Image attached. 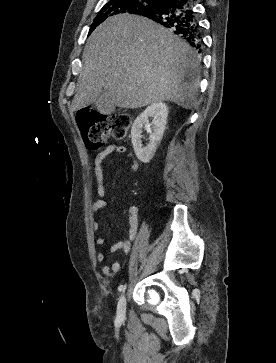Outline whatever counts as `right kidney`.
Here are the masks:
<instances>
[{
	"instance_id": "ca27d5eb",
	"label": "right kidney",
	"mask_w": 276,
	"mask_h": 363,
	"mask_svg": "<svg viewBox=\"0 0 276 363\" xmlns=\"http://www.w3.org/2000/svg\"><path fill=\"white\" fill-rule=\"evenodd\" d=\"M149 117H153V133L146 147L142 145V127L149 124ZM168 107L165 103H153L147 107L134 121L131 129V141L137 158L143 163H149L160 144L166 128Z\"/></svg>"
}]
</instances>
